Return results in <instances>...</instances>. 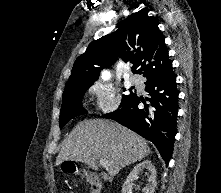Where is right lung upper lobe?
Returning <instances> with one entry per match:
<instances>
[{"label":"right lung upper lobe","mask_w":221,"mask_h":193,"mask_svg":"<svg viewBox=\"0 0 221 193\" xmlns=\"http://www.w3.org/2000/svg\"><path fill=\"white\" fill-rule=\"evenodd\" d=\"M117 56L139 67L136 73L144 77L172 67L156 18L135 13L121 22L118 30L89 44L76 59L65 88L91 86L100 70Z\"/></svg>","instance_id":"obj_1"}]
</instances>
